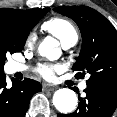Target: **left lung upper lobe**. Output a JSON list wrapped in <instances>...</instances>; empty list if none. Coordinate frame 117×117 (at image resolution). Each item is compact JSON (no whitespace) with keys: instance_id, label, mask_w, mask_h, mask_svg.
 <instances>
[{"instance_id":"5c2ea615","label":"left lung upper lobe","mask_w":117,"mask_h":117,"mask_svg":"<svg viewBox=\"0 0 117 117\" xmlns=\"http://www.w3.org/2000/svg\"><path fill=\"white\" fill-rule=\"evenodd\" d=\"M54 11L73 19L82 34V49L73 65L77 78L90 74L87 84L117 85V31L99 12L87 6H62Z\"/></svg>"}]
</instances>
